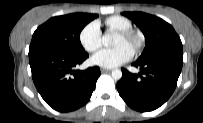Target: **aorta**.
I'll return each instance as SVG.
<instances>
[{"mask_svg":"<svg viewBox=\"0 0 203 123\" xmlns=\"http://www.w3.org/2000/svg\"><path fill=\"white\" fill-rule=\"evenodd\" d=\"M102 43L104 46L113 44V35L111 33H105L102 37ZM111 76L114 80H120L122 78V71L115 69L112 71Z\"/></svg>","mask_w":203,"mask_h":123,"instance_id":"762f6f07","label":"aorta"}]
</instances>
